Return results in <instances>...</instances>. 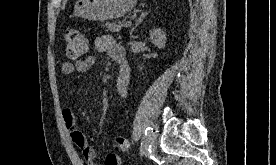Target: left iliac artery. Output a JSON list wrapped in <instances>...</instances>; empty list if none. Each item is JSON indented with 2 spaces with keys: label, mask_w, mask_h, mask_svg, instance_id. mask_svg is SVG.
<instances>
[{
  "label": "left iliac artery",
  "mask_w": 276,
  "mask_h": 165,
  "mask_svg": "<svg viewBox=\"0 0 276 165\" xmlns=\"http://www.w3.org/2000/svg\"><path fill=\"white\" fill-rule=\"evenodd\" d=\"M152 128L148 127L145 131V136L143 137V140L141 142V146H140V152L141 154H145L148 151H150L149 149V137L152 133Z\"/></svg>",
  "instance_id": "left-iliac-artery-1"
}]
</instances>
